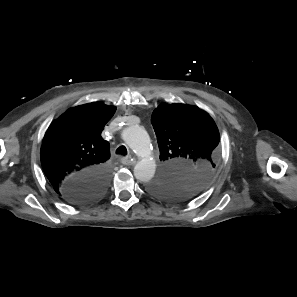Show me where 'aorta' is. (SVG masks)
<instances>
[{
    "label": "aorta",
    "instance_id": "762f6f07",
    "mask_svg": "<svg viewBox=\"0 0 297 297\" xmlns=\"http://www.w3.org/2000/svg\"><path fill=\"white\" fill-rule=\"evenodd\" d=\"M122 139L138 156L134 167L135 178L141 182H149L155 174L156 163L147 131L142 126L132 125L123 130Z\"/></svg>",
    "mask_w": 297,
    "mask_h": 297
}]
</instances>
